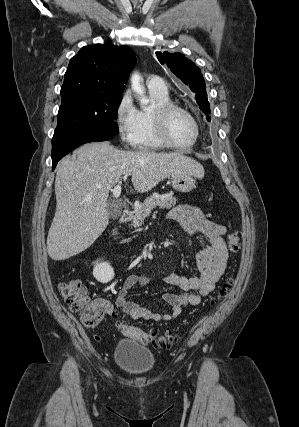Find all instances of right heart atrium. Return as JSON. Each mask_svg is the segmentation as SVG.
I'll return each mask as SVG.
<instances>
[{
	"mask_svg": "<svg viewBox=\"0 0 299 427\" xmlns=\"http://www.w3.org/2000/svg\"><path fill=\"white\" fill-rule=\"evenodd\" d=\"M115 124L121 141L128 146H135L140 129L139 110L129 91L121 95L116 105Z\"/></svg>",
	"mask_w": 299,
	"mask_h": 427,
	"instance_id": "1",
	"label": "right heart atrium"
}]
</instances>
